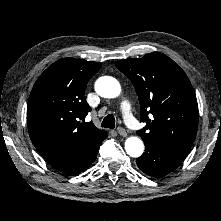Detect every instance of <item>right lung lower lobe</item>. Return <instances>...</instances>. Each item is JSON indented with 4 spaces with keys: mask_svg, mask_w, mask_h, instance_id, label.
<instances>
[{
    "mask_svg": "<svg viewBox=\"0 0 221 221\" xmlns=\"http://www.w3.org/2000/svg\"><path fill=\"white\" fill-rule=\"evenodd\" d=\"M107 136H102L88 144L66 150L59 155L44 158L52 167L67 175L78 174L86 170L94 162L99 147Z\"/></svg>",
    "mask_w": 221,
    "mask_h": 221,
    "instance_id": "obj_1",
    "label": "right lung lower lobe"
}]
</instances>
